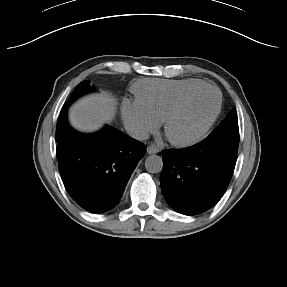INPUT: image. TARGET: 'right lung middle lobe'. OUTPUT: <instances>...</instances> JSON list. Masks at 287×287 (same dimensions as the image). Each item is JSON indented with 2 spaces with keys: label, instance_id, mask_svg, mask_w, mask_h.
Here are the masks:
<instances>
[{
  "label": "right lung middle lobe",
  "instance_id": "1",
  "mask_svg": "<svg viewBox=\"0 0 287 287\" xmlns=\"http://www.w3.org/2000/svg\"><path fill=\"white\" fill-rule=\"evenodd\" d=\"M95 88L90 85V81H82L77 85L73 93L71 94L68 101L64 104L61 113L58 118L57 128H56V141L61 143L64 140V135L66 130L69 128V124L67 122V109L71 103H73L80 96L94 91Z\"/></svg>",
  "mask_w": 287,
  "mask_h": 287
}]
</instances>
